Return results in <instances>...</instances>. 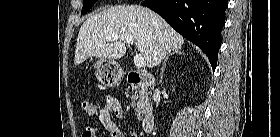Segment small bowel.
<instances>
[{"instance_id":"small-bowel-1","label":"small bowel","mask_w":280,"mask_h":137,"mask_svg":"<svg viewBox=\"0 0 280 137\" xmlns=\"http://www.w3.org/2000/svg\"><path fill=\"white\" fill-rule=\"evenodd\" d=\"M113 117L123 119L124 114L118 99L110 95L106 98L105 106L99 113L101 130L92 127L87 128L83 137H88V134H90L91 137H124L117 123L112 119ZM134 136L135 135H132V137Z\"/></svg>"}]
</instances>
